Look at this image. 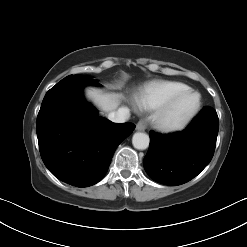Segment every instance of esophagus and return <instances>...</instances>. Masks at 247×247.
I'll use <instances>...</instances> for the list:
<instances>
[{
    "mask_svg": "<svg viewBox=\"0 0 247 247\" xmlns=\"http://www.w3.org/2000/svg\"><path fill=\"white\" fill-rule=\"evenodd\" d=\"M146 129V122L144 119H141L136 124V130L137 131H144Z\"/></svg>",
    "mask_w": 247,
    "mask_h": 247,
    "instance_id": "obj_1",
    "label": "esophagus"
}]
</instances>
